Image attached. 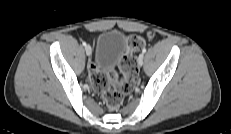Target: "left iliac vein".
Wrapping results in <instances>:
<instances>
[{
	"instance_id": "left-iliac-vein-1",
	"label": "left iliac vein",
	"mask_w": 231,
	"mask_h": 134,
	"mask_svg": "<svg viewBox=\"0 0 231 134\" xmlns=\"http://www.w3.org/2000/svg\"><path fill=\"white\" fill-rule=\"evenodd\" d=\"M143 59H144V54L141 53L138 57V64L139 66H142L143 65Z\"/></svg>"
}]
</instances>
